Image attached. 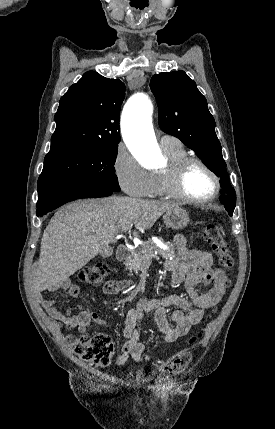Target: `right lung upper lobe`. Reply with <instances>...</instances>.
Segmentation results:
<instances>
[{"instance_id":"obj_1","label":"right lung upper lobe","mask_w":275,"mask_h":429,"mask_svg":"<svg viewBox=\"0 0 275 429\" xmlns=\"http://www.w3.org/2000/svg\"><path fill=\"white\" fill-rule=\"evenodd\" d=\"M125 85L95 71L86 72L61 97L51 150L112 146L120 142L119 114Z\"/></svg>"}]
</instances>
